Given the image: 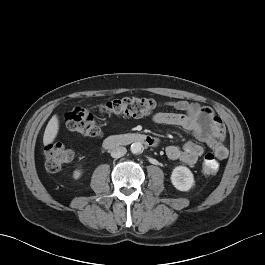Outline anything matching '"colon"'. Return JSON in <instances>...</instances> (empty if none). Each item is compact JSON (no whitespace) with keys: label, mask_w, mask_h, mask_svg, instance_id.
<instances>
[{"label":"colon","mask_w":265,"mask_h":265,"mask_svg":"<svg viewBox=\"0 0 265 265\" xmlns=\"http://www.w3.org/2000/svg\"><path fill=\"white\" fill-rule=\"evenodd\" d=\"M158 103L151 98L126 97L112 100L99 107L101 112L126 117H143L156 111ZM67 128L76 134L87 137H98L101 127L93 114L81 107H75L65 115ZM74 157V152L58 143L49 144L45 148L46 168L49 172H57ZM202 170L213 175L219 170V161L215 154L208 153L203 157Z\"/></svg>","instance_id":"colon-1"}]
</instances>
